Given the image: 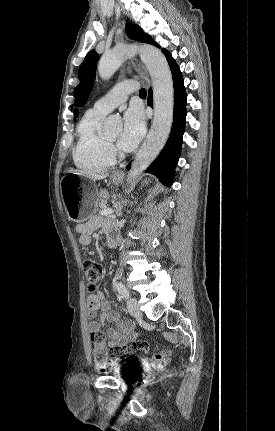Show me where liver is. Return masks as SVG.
Here are the masks:
<instances>
[{
  "label": "liver",
  "instance_id": "6515ba94",
  "mask_svg": "<svg viewBox=\"0 0 275 431\" xmlns=\"http://www.w3.org/2000/svg\"><path fill=\"white\" fill-rule=\"evenodd\" d=\"M71 172L72 173H76L78 175L87 176V177H89V178H91L93 180H102V179H105L107 177V174L100 175V174L86 173V172H83V171H71Z\"/></svg>",
  "mask_w": 275,
  "mask_h": 431
}]
</instances>
